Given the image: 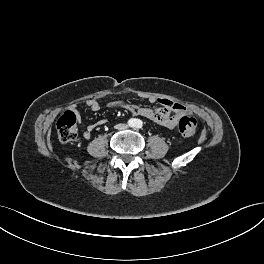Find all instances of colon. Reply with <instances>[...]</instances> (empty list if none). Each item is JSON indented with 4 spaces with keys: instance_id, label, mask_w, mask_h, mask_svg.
<instances>
[{
    "instance_id": "1",
    "label": "colon",
    "mask_w": 264,
    "mask_h": 264,
    "mask_svg": "<svg viewBox=\"0 0 264 264\" xmlns=\"http://www.w3.org/2000/svg\"><path fill=\"white\" fill-rule=\"evenodd\" d=\"M59 140L62 143H70L77 137V116L73 111H66L56 123ZM179 132L184 137H192L197 129L195 118L183 116L178 124Z\"/></svg>"
}]
</instances>
